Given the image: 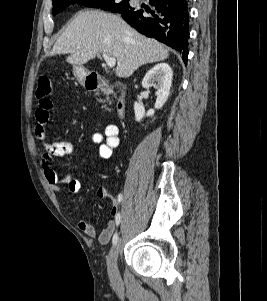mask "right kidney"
I'll return each mask as SVG.
<instances>
[{
  "instance_id": "obj_1",
  "label": "right kidney",
  "mask_w": 267,
  "mask_h": 301,
  "mask_svg": "<svg viewBox=\"0 0 267 301\" xmlns=\"http://www.w3.org/2000/svg\"><path fill=\"white\" fill-rule=\"evenodd\" d=\"M173 71L171 67L166 63H160L150 69L143 78L142 86L144 88L154 87L157 89L156 103L154 108L160 109L165 104L169 97L170 88L172 85ZM134 112L136 121H141L145 116H153L155 113L154 109H150L145 113L143 105L135 102Z\"/></svg>"
}]
</instances>
